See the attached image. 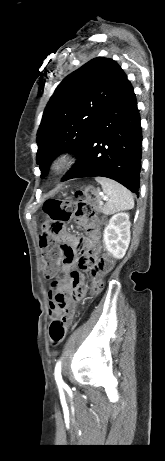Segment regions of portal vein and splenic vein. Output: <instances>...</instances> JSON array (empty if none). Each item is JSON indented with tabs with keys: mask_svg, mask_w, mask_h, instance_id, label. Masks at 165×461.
Here are the masks:
<instances>
[{
	"mask_svg": "<svg viewBox=\"0 0 165 461\" xmlns=\"http://www.w3.org/2000/svg\"><path fill=\"white\" fill-rule=\"evenodd\" d=\"M103 200H104V201H107L108 199H107L106 197H104V198H103ZM99 204H101V205H102V204H103V201H102V200H100V201H99Z\"/></svg>",
	"mask_w": 165,
	"mask_h": 461,
	"instance_id": "obj_1",
	"label": "portal vein and splenic vein"
}]
</instances>
